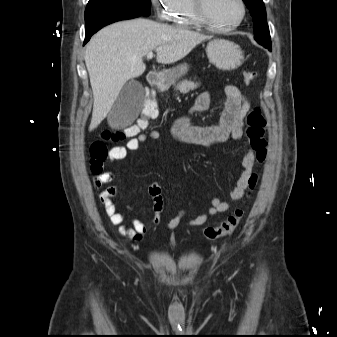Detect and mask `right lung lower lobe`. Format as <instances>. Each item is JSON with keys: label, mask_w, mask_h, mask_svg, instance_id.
Segmentation results:
<instances>
[{"label": "right lung lower lobe", "mask_w": 337, "mask_h": 337, "mask_svg": "<svg viewBox=\"0 0 337 337\" xmlns=\"http://www.w3.org/2000/svg\"><path fill=\"white\" fill-rule=\"evenodd\" d=\"M141 16L140 14L130 13L125 11H114L102 13L97 16H93L86 21L85 25V40L84 44L87 43L90 37L96 33L102 27L111 24L116 21L132 19Z\"/></svg>", "instance_id": "98d812e1"}]
</instances>
